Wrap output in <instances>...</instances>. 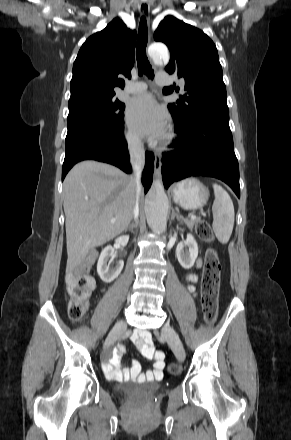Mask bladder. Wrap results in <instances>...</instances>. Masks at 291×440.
<instances>
[{"mask_svg":"<svg viewBox=\"0 0 291 440\" xmlns=\"http://www.w3.org/2000/svg\"><path fill=\"white\" fill-rule=\"evenodd\" d=\"M158 387H154L151 389H148L146 392L149 394H153L156 391H158ZM139 393V390L135 387H133L132 382H125L123 383V386L117 391V395L121 398H128L135 394Z\"/></svg>","mask_w":291,"mask_h":440,"instance_id":"1","label":"bladder"}]
</instances>
